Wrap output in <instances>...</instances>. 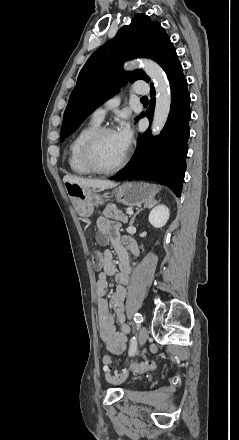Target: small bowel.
I'll return each instance as SVG.
<instances>
[{"mask_svg": "<svg viewBox=\"0 0 239 440\" xmlns=\"http://www.w3.org/2000/svg\"><path fill=\"white\" fill-rule=\"evenodd\" d=\"M119 228L117 222L106 217H99L97 220V242L100 245L112 244L118 256L119 270L116 269L111 251L106 250L104 252L103 270L96 279L99 335L105 350L114 356L125 351L129 333V327L125 322V297L126 285L129 283L134 263L130 261L126 249L135 257L139 255L136 243L131 238H122ZM108 276L113 277L116 283L115 290L111 295L114 315L111 314L106 299ZM116 321L119 323V330L115 327Z\"/></svg>", "mask_w": 239, "mask_h": 440, "instance_id": "c3829d8e", "label": "small bowel"}]
</instances>
